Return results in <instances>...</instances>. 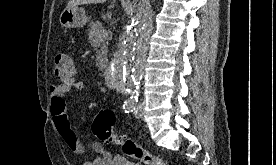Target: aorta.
Wrapping results in <instances>:
<instances>
[{"label": "aorta", "instance_id": "762f6f07", "mask_svg": "<svg viewBox=\"0 0 276 165\" xmlns=\"http://www.w3.org/2000/svg\"><path fill=\"white\" fill-rule=\"evenodd\" d=\"M150 0H142L131 23L127 26L121 47L111 62L109 80L115 87L136 98L145 66L147 38L152 30Z\"/></svg>", "mask_w": 276, "mask_h": 165}]
</instances>
